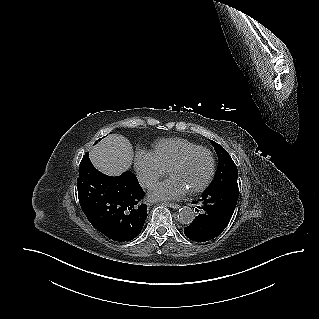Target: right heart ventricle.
I'll list each match as a JSON object with an SVG mask.
<instances>
[{
	"label": "right heart ventricle",
	"mask_w": 319,
	"mask_h": 319,
	"mask_svg": "<svg viewBox=\"0 0 319 319\" xmlns=\"http://www.w3.org/2000/svg\"><path fill=\"white\" fill-rule=\"evenodd\" d=\"M198 145L185 138H167L155 142L150 150L155 161L165 170L176 160L183 152Z\"/></svg>",
	"instance_id": "right-heart-ventricle-1"
}]
</instances>
